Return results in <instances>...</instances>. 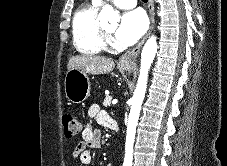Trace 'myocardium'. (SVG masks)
Segmentation results:
<instances>
[{
	"mask_svg": "<svg viewBox=\"0 0 227 166\" xmlns=\"http://www.w3.org/2000/svg\"><path fill=\"white\" fill-rule=\"evenodd\" d=\"M100 32L104 42H108L111 38V33L105 30L103 26H100Z\"/></svg>",
	"mask_w": 227,
	"mask_h": 166,
	"instance_id": "myocardium-1",
	"label": "myocardium"
}]
</instances>
